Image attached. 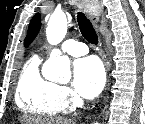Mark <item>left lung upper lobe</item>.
Listing matches in <instances>:
<instances>
[{
	"instance_id": "left-lung-upper-lobe-1",
	"label": "left lung upper lobe",
	"mask_w": 145,
	"mask_h": 124,
	"mask_svg": "<svg viewBox=\"0 0 145 124\" xmlns=\"http://www.w3.org/2000/svg\"><path fill=\"white\" fill-rule=\"evenodd\" d=\"M40 26H41L40 15L36 14L32 18V20H31V22L29 24L27 37L25 39V46H28L30 44V42L35 38V36L39 32Z\"/></svg>"
}]
</instances>
